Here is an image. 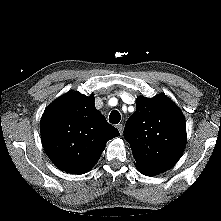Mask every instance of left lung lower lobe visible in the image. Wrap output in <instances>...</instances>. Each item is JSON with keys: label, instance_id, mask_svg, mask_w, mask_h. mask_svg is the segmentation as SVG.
Returning <instances> with one entry per match:
<instances>
[{"label": "left lung lower lobe", "instance_id": "0a47b994", "mask_svg": "<svg viewBox=\"0 0 221 221\" xmlns=\"http://www.w3.org/2000/svg\"><path fill=\"white\" fill-rule=\"evenodd\" d=\"M143 175H146V176H154L153 174H150V173H146V172H143L141 170H139Z\"/></svg>", "mask_w": 221, "mask_h": 221}]
</instances>
